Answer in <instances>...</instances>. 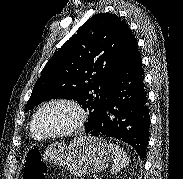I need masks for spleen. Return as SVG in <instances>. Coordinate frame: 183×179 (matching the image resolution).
<instances>
[{
    "instance_id": "spleen-1",
    "label": "spleen",
    "mask_w": 183,
    "mask_h": 179,
    "mask_svg": "<svg viewBox=\"0 0 183 179\" xmlns=\"http://www.w3.org/2000/svg\"><path fill=\"white\" fill-rule=\"evenodd\" d=\"M108 147L113 157V165L110 171L112 174H115L125 168L128 165L129 160L126 152L121 149L120 146L110 143Z\"/></svg>"
}]
</instances>
